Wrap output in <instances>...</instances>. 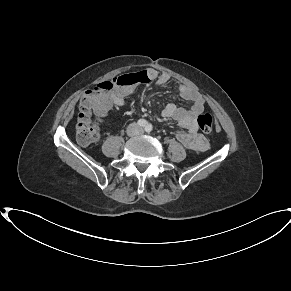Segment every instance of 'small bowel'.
<instances>
[{
    "mask_svg": "<svg viewBox=\"0 0 291 291\" xmlns=\"http://www.w3.org/2000/svg\"><path fill=\"white\" fill-rule=\"evenodd\" d=\"M141 81H155L158 86L166 84L170 80V75L167 73L159 74L155 69L148 68L140 72ZM138 82V83H140ZM136 84L121 87L103 100L107 102L108 108L111 105L122 107L126 104V98L134 93ZM178 94L181 99L192 102L190 108L178 107L170 103L162 109L164 118L177 121L180 128L185 132L177 134V139L188 149L193 151H204L207 148V140L204 136L198 133L197 116L205 109V101L203 97L187 84H179Z\"/></svg>",
    "mask_w": 291,
    "mask_h": 291,
    "instance_id": "1",
    "label": "small bowel"
}]
</instances>
